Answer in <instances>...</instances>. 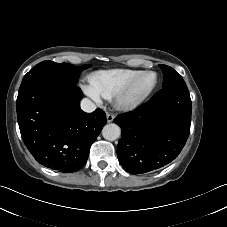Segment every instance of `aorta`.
Listing matches in <instances>:
<instances>
[{"instance_id": "762f6f07", "label": "aorta", "mask_w": 227, "mask_h": 227, "mask_svg": "<svg viewBox=\"0 0 227 227\" xmlns=\"http://www.w3.org/2000/svg\"><path fill=\"white\" fill-rule=\"evenodd\" d=\"M120 134V127L115 123L107 124L102 129V136L108 141L116 140L117 138H119Z\"/></svg>"}]
</instances>
